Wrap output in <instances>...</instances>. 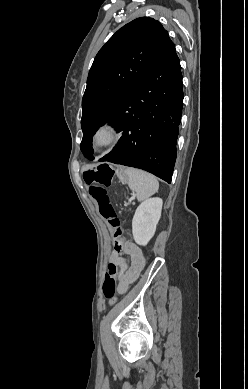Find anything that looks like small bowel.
<instances>
[{
  "label": "small bowel",
  "mask_w": 248,
  "mask_h": 389,
  "mask_svg": "<svg viewBox=\"0 0 248 389\" xmlns=\"http://www.w3.org/2000/svg\"><path fill=\"white\" fill-rule=\"evenodd\" d=\"M121 252L131 255L132 264L130 268L126 269L123 260L120 256ZM145 256L139 247L130 242H124L120 251L114 250L110 256V262L121 267V273L118 277V293L123 294L127 291L130 284H132L139 276L145 265Z\"/></svg>",
  "instance_id": "small-bowel-1"
}]
</instances>
